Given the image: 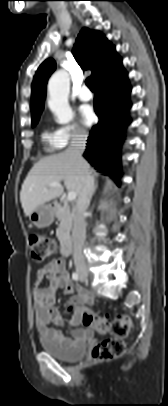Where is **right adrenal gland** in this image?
Returning <instances> with one entry per match:
<instances>
[{
  "label": "right adrenal gland",
  "instance_id": "obj_1",
  "mask_svg": "<svg viewBox=\"0 0 168 406\" xmlns=\"http://www.w3.org/2000/svg\"><path fill=\"white\" fill-rule=\"evenodd\" d=\"M96 189H97V184H96V186H95V190H94V192L96 191Z\"/></svg>",
  "mask_w": 168,
  "mask_h": 406
}]
</instances>
